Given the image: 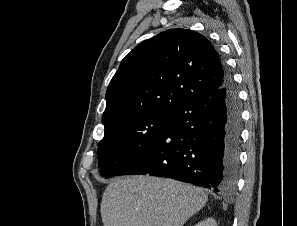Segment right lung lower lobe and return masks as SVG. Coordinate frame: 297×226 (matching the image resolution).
<instances>
[{
    "label": "right lung lower lobe",
    "instance_id": "98d812e1",
    "mask_svg": "<svg viewBox=\"0 0 297 226\" xmlns=\"http://www.w3.org/2000/svg\"><path fill=\"white\" fill-rule=\"evenodd\" d=\"M174 110L171 124L116 175L149 174L173 178L216 192L237 182L241 104L232 76Z\"/></svg>",
    "mask_w": 297,
    "mask_h": 226
}]
</instances>
